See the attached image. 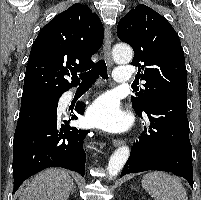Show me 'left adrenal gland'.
<instances>
[{
	"label": "left adrenal gland",
	"mask_w": 201,
	"mask_h": 200,
	"mask_svg": "<svg viewBox=\"0 0 201 200\" xmlns=\"http://www.w3.org/2000/svg\"><path fill=\"white\" fill-rule=\"evenodd\" d=\"M131 189H132V190H133V189L136 190L134 187H131Z\"/></svg>",
	"instance_id": "obj_1"
}]
</instances>
